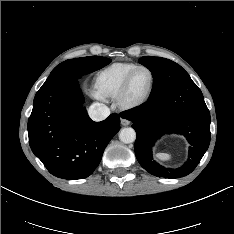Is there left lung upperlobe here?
<instances>
[{"label":"left lung upper lobe","mask_w":234,"mask_h":234,"mask_svg":"<svg viewBox=\"0 0 234 234\" xmlns=\"http://www.w3.org/2000/svg\"><path fill=\"white\" fill-rule=\"evenodd\" d=\"M138 62L152 72L153 88L150 96L190 78L188 73L180 65L169 59L144 56Z\"/></svg>","instance_id":"left-lung-upper-lobe-1"}]
</instances>
